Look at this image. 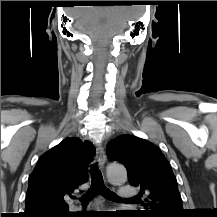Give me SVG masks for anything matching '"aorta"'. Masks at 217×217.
I'll return each instance as SVG.
<instances>
[{
	"label": "aorta",
	"instance_id": "obj_1",
	"mask_svg": "<svg viewBox=\"0 0 217 217\" xmlns=\"http://www.w3.org/2000/svg\"><path fill=\"white\" fill-rule=\"evenodd\" d=\"M107 177L110 183L120 184L126 182L127 172L124 166L112 163L107 167Z\"/></svg>",
	"mask_w": 217,
	"mask_h": 217
}]
</instances>
